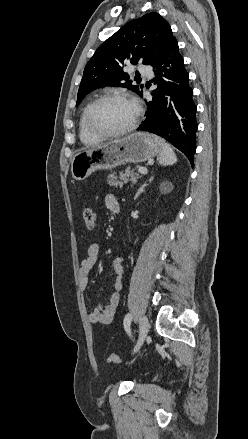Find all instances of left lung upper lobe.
Segmentation results:
<instances>
[{
    "label": "left lung upper lobe",
    "mask_w": 248,
    "mask_h": 439,
    "mask_svg": "<svg viewBox=\"0 0 248 439\" xmlns=\"http://www.w3.org/2000/svg\"><path fill=\"white\" fill-rule=\"evenodd\" d=\"M175 41L170 25L158 13L151 12L128 22L98 47L87 63L76 105L91 91L108 85L126 87L142 95L123 67L128 63L136 65L138 61L153 67Z\"/></svg>",
    "instance_id": "1"
}]
</instances>
